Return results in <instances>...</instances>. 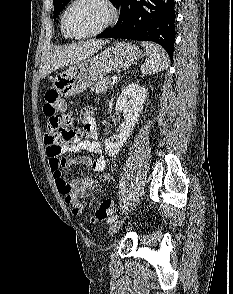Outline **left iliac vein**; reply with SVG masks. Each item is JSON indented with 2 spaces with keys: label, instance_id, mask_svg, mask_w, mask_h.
<instances>
[{
  "label": "left iliac vein",
  "instance_id": "1",
  "mask_svg": "<svg viewBox=\"0 0 233 294\" xmlns=\"http://www.w3.org/2000/svg\"><path fill=\"white\" fill-rule=\"evenodd\" d=\"M123 221L122 220H116L112 223V225L109 228V235L113 236L120 228V226L122 225Z\"/></svg>",
  "mask_w": 233,
  "mask_h": 294
}]
</instances>
